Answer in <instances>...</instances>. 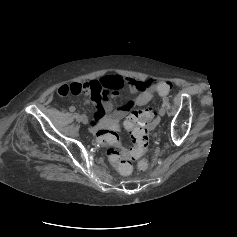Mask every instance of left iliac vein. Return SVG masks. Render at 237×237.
Returning <instances> with one entry per match:
<instances>
[{
	"instance_id": "left-iliac-vein-1",
	"label": "left iliac vein",
	"mask_w": 237,
	"mask_h": 237,
	"mask_svg": "<svg viewBox=\"0 0 237 237\" xmlns=\"http://www.w3.org/2000/svg\"><path fill=\"white\" fill-rule=\"evenodd\" d=\"M165 113H166V109H165L164 106H162V107L160 108V110H159V115H160V116H164Z\"/></svg>"
}]
</instances>
